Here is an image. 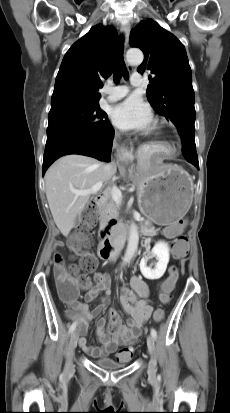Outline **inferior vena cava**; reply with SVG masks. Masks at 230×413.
Masks as SVG:
<instances>
[{"mask_svg":"<svg viewBox=\"0 0 230 413\" xmlns=\"http://www.w3.org/2000/svg\"><path fill=\"white\" fill-rule=\"evenodd\" d=\"M104 171L109 175H113L116 172V167L114 163L105 164L103 167ZM117 244L114 247V250L111 253V260L115 261L120 254L121 248L125 243V232H124V225L120 221L117 225Z\"/></svg>","mask_w":230,"mask_h":413,"instance_id":"602c4592","label":"inferior vena cava"}]
</instances>
